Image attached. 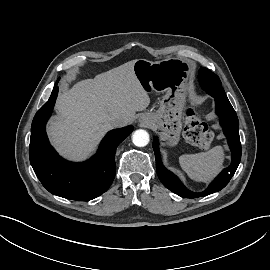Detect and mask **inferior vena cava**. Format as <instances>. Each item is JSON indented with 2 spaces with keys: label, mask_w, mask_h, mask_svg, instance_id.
<instances>
[{
  "label": "inferior vena cava",
  "mask_w": 270,
  "mask_h": 270,
  "mask_svg": "<svg viewBox=\"0 0 270 270\" xmlns=\"http://www.w3.org/2000/svg\"><path fill=\"white\" fill-rule=\"evenodd\" d=\"M110 124L112 127H120L125 124V121L121 117H113L110 119Z\"/></svg>",
  "instance_id": "inferior-vena-cava-1"
}]
</instances>
